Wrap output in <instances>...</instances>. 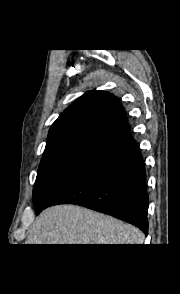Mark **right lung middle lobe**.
<instances>
[{
    "label": "right lung middle lobe",
    "mask_w": 180,
    "mask_h": 294,
    "mask_svg": "<svg viewBox=\"0 0 180 294\" xmlns=\"http://www.w3.org/2000/svg\"><path fill=\"white\" fill-rule=\"evenodd\" d=\"M99 142L76 140L45 149L33 189V201L41 209L66 183Z\"/></svg>",
    "instance_id": "right-lung-middle-lobe-1"
}]
</instances>
